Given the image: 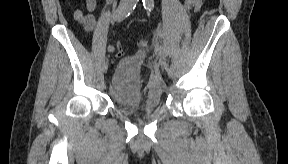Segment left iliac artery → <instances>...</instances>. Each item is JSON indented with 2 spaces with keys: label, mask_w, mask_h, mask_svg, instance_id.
<instances>
[{
  "label": "left iliac artery",
  "mask_w": 288,
  "mask_h": 164,
  "mask_svg": "<svg viewBox=\"0 0 288 164\" xmlns=\"http://www.w3.org/2000/svg\"><path fill=\"white\" fill-rule=\"evenodd\" d=\"M143 6L146 10L151 11L154 8V1L153 0H142ZM160 55L163 57L166 49L163 45L159 46Z\"/></svg>",
  "instance_id": "obj_1"
}]
</instances>
